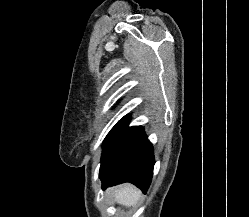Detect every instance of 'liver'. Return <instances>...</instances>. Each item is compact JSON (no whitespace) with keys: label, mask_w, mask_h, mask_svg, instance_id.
Returning a JSON list of instances; mask_svg holds the SVG:
<instances>
[{"label":"liver","mask_w":249,"mask_h":217,"mask_svg":"<svg viewBox=\"0 0 249 217\" xmlns=\"http://www.w3.org/2000/svg\"><path fill=\"white\" fill-rule=\"evenodd\" d=\"M108 194L114 195L115 201L127 207L134 206L139 199L141 192L131 184H123L107 190Z\"/></svg>","instance_id":"6515ba94"}]
</instances>
